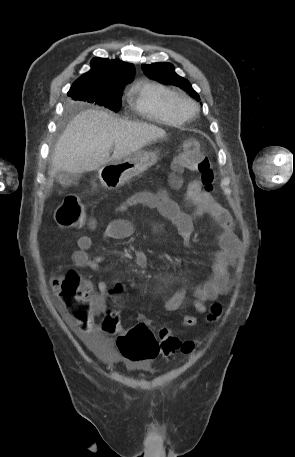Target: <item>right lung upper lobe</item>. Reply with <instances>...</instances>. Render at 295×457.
Returning a JSON list of instances; mask_svg holds the SVG:
<instances>
[{"instance_id": "cb5924a9", "label": "right lung upper lobe", "mask_w": 295, "mask_h": 457, "mask_svg": "<svg viewBox=\"0 0 295 457\" xmlns=\"http://www.w3.org/2000/svg\"><path fill=\"white\" fill-rule=\"evenodd\" d=\"M134 74L135 67L133 64L117 59L109 60L96 57L91 60V70L81 75L74 82L70 91L73 87L78 86L93 90L122 88L133 79Z\"/></svg>"}]
</instances>
